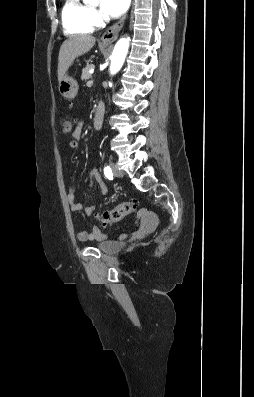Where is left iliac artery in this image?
I'll list each match as a JSON object with an SVG mask.
<instances>
[{"instance_id": "44dca946", "label": "left iliac artery", "mask_w": 254, "mask_h": 397, "mask_svg": "<svg viewBox=\"0 0 254 397\" xmlns=\"http://www.w3.org/2000/svg\"><path fill=\"white\" fill-rule=\"evenodd\" d=\"M104 174L109 180H113V173L108 165L104 167Z\"/></svg>"}]
</instances>
